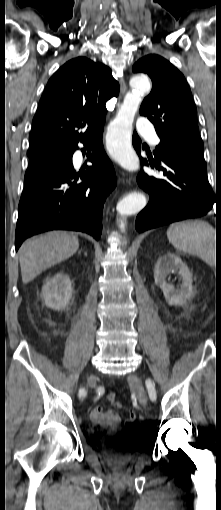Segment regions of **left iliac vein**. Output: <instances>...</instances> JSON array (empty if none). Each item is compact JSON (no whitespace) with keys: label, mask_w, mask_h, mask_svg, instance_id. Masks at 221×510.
<instances>
[{"label":"left iliac vein","mask_w":221,"mask_h":510,"mask_svg":"<svg viewBox=\"0 0 221 510\" xmlns=\"http://www.w3.org/2000/svg\"><path fill=\"white\" fill-rule=\"evenodd\" d=\"M148 380L152 383L153 390L156 391L152 380L151 379H148ZM128 382H129L130 386L136 392L139 402L143 406H146L147 402H148V398H147V394H146V391H145V388L143 386L141 379L137 375L130 374L128 376Z\"/></svg>","instance_id":"obj_1"}]
</instances>
